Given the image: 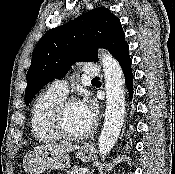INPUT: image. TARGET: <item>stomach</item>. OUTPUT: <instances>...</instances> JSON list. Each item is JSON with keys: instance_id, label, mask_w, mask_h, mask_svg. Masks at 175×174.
<instances>
[{"instance_id": "0dacf381", "label": "stomach", "mask_w": 175, "mask_h": 174, "mask_svg": "<svg viewBox=\"0 0 175 174\" xmlns=\"http://www.w3.org/2000/svg\"><path fill=\"white\" fill-rule=\"evenodd\" d=\"M76 158L83 162H89L93 158V150L90 146L83 145L78 148ZM69 166V155L59 151H33L23 161V167L28 174H42L48 169L65 170Z\"/></svg>"}]
</instances>
